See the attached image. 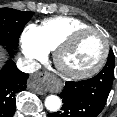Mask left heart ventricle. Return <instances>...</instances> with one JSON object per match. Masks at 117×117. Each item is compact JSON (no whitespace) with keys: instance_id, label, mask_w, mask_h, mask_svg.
<instances>
[{"instance_id":"left-heart-ventricle-1","label":"left heart ventricle","mask_w":117,"mask_h":117,"mask_svg":"<svg viewBox=\"0 0 117 117\" xmlns=\"http://www.w3.org/2000/svg\"><path fill=\"white\" fill-rule=\"evenodd\" d=\"M104 49L101 36L88 33L80 36L63 56V65L73 71L86 70L97 63Z\"/></svg>"}]
</instances>
